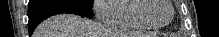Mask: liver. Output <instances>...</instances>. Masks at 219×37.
I'll return each instance as SVG.
<instances>
[{
  "mask_svg": "<svg viewBox=\"0 0 219 37\" xmlns=\"http://www.w3.org/2000/svg\"><path fill=\"white\" fill-rule=\"evenodd\" d=\"M101 25L90 19L74 14L54 15L43 21L33 33V37H112L99 36ZM104 35H124L105 33Z\"/></svg>",
  "mask_w": 219,
  "mask_h": 37,
  "instance_id": "1",
  "label": "liver"
}]
</instances>
